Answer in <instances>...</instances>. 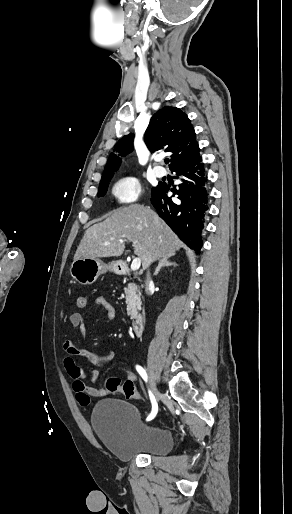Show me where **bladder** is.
Listing matches in <instances>:
<instances>
[{"label": "bladder", "instance_id": "bladder-1", "mask_svg": "<svg viewBox=\"0 0 292 514\" xmlns=\"http://www.w3.org/2000/svg\"><path fill=\"white\" fill-rule=\"evenodd\" d=\"M91 425L100 442L120 461L163 455L173 447L171 432L144 423L138 408L127 401H100L92 411Z\"/></svg>", "mask_w": 292, "mask_h": 514}]
</instances>
